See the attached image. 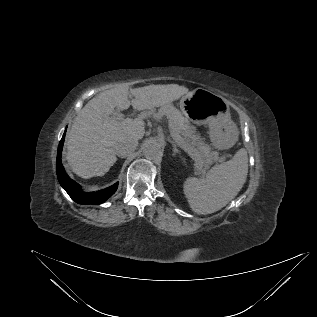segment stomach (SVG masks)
Wrapping results in <instances>:
<instances>
[{"label":"stomach","instance_id":"obj_1","mask_svg":"<svg viewBox=\"0 0 317 317\" xmlns=\"http://www.w3.org/2000/svg\"><path fill=\"white\" fill-rule=\"evenodd\" d=\"M180 107L187 117H192V110L202 113L203 117L195 120L209 125L210 138L216 148L228 149L237 142L239 132L222 96L197 88L182 97Z\"/></svg>","mask_w":317,"mask_h":317}]
</instances>
